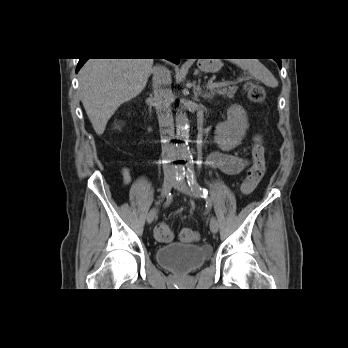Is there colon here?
I'll return each instance as SVG.
<instances>
[{
	"label": "colon",
	"mask_w": 348,
	"mask_h": 348,
	"mask_svg": "<svg viewBox=\"0 0 348 348\" xmlns=\"http://www.w3.org/2000/svg\"><path fill=\"white\" fill-rule=\"evenodd\" d=\"M246 88L249 97L254 102H262L265 98V91L262 86L247 81ZM266 170V154L263 139L260 135L253 138L252 163L246 172V178L242 184L241 190L244 194L251 193L258 181L262 178ZM155 237L158 241L169 242L173 234L166 223H159L155 227ZM180 239L183 242H192L198 239V234L189 228H184L180 232Z\"/></svg>",
	"instance_id": "5ec220e1"
}]
</instances>
